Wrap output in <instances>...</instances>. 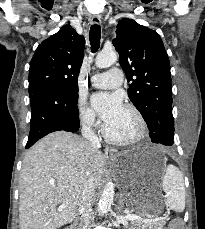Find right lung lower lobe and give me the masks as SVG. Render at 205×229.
Masks as SVG:
<instances>
[{
  "label": "right lung lower lobe",
  "instance_id": "98d812e1",
  "mask_svg": "<svg viewBox=\"0 0 205 229\" xmlns=\"http://www.w3.org/2000/svg\"><path fill=\"white\" fill-rule=\"evenodd\" d=\"M31 121L26 148L54 131L79 129L78 96L67 89L53 87L30 95Z\"/></svg>",
  "mask_w": 205,
  "mask_h": 229
}]
</instances>
